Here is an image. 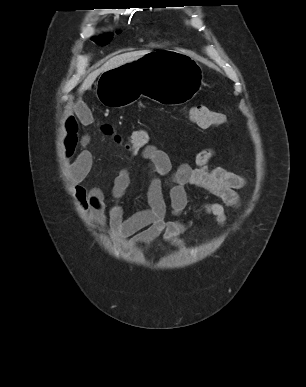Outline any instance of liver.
<instances>
[{
	"instance_id": "obj_1",
	"label": "liver",
	"mask_w": 306,
	"mask_h": 387,
	"mask_svg": "<svg viewBox=\"0 0 306 387\" xmlns=\"http://www.w3.org/2000/svg\"><path fill=\"white\" fill-rule=\"evenodd\" d=\"M148 53H150L149 50L135 51V52L123 53L110 58L101 68L93 71L91 74L87 76V78L83 81L82 85L79 88V93L82 94L84 91L91 88L93 82L95 81V79L100 73H103V72L112 70L114 68H117L119 66H122L124 64L136 61Z\"/></svg>"
}]
</instances>
